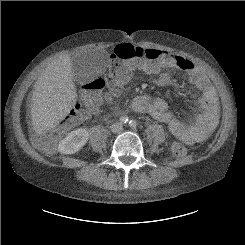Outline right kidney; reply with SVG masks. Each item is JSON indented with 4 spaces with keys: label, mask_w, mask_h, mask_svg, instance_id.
Segmentation results:
<instances>
[{
    "label": "right kidney",
    "mask_w": 245,
    "mask_h": 245,
    "mask_svg": "<svg viewBox=\"0 0 245 245\" xmlns=\"http://www.w3.org/2000/svg\"><path fill=\"white\" fill-rule=\"evenodd\" d=\"M89 133L85 128L71 131L59 143L58 151L62 154H74L79 151L88 141Z\"/></svg>",
    "instance_id": "1"
}]
</instances>
